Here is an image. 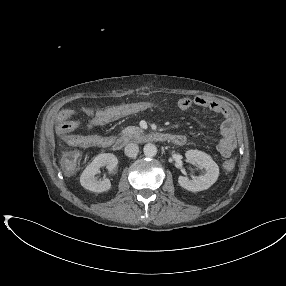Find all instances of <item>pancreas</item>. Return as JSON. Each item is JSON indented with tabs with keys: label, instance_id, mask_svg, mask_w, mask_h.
Instances as JSON below:
<instances>
[{
	"label": "pancreas",
	"instance_id": "obj_1",
	"mask_svg": "<svg viewBox=\"0 0 286 286\" xmlns=\"http://www.w3.org/2000/svg\"><path fill=\"white\" fill-rule=\"evenodd\" d=\"M143 133L142 129L136 126H128L121 131V138L124 141L138 139Z\"/></svg>",
	"mask_w": 286,
	"mask_h": 286
}]
</instances>
